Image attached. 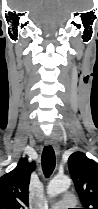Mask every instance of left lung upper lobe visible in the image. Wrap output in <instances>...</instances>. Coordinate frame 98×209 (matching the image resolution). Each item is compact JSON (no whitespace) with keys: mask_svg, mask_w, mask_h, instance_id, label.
I'll use <instances>...</instances> for the list:
<instances>
[{"mask_svg":"<svg viewBox=\"0 0 98 209\" xmlns=\"http://www.w3.org/2000/svg\"><path fill=\"white\" fill-rule=\"evenodd\" d=\"M68 167L83 209H98V163L82 152H74Z\"/></svg>","mask_w":98,"mask_h":209,"instance_id":"5c2ea615","label":"left lung upper lobe"}]
</instances>
